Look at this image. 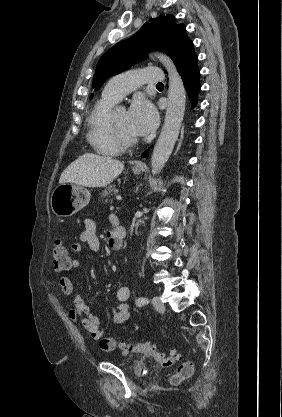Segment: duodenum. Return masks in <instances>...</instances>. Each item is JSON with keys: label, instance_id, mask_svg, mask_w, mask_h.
Here are the masks:
<instances>
[{"label": "duodenum", "instance_id": "duodenum-1", "mask_svg": "<svg viewBox=\"0 0 282 417\" xmlns=\"http://www.w3.org/2000/svg\"><path fill=\"white\" fill-rule=\"evenodd\" d=\"M125 234H126V230H125V228L123 227V226H118L117 227V229H116V231H115V235H114V238H115V240L117 241V245L115 246V244H113V248L114 249H120L121 248V246H122V241H123V239H124V237H125Z\"/></svg>", "mask_w": 282, "mask_h": 417}]
</instances>
